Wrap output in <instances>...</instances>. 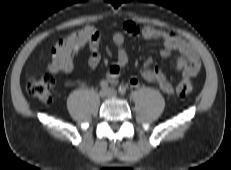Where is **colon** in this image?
I'll use <instances>...</instances> for the list:
<instances>
[{
	"mask_svg": "<svg viewBox=\"0 0 231 170\" xmlns=\"http://www.w3.org/2000/svg\"><path fill=\"white\" fill-rule=\"evenodd\" d=\"M99 37L98 30L93 26H86L70 33L60 40L52 50L49 70L51 73L66 72L72 65V56L82 46ZM55 79L51 75H45L38 79H32L27 83L28 93L44 104L52 100V92ZM194 91L192 82L188 79L181 80L176 86V93L180 97L190 95Z\"/></svg>",
	"mask_w": 231,
	"mask_h": 170,
	"instance_id": "1",
	"label": "colon"
}]
</instances>
